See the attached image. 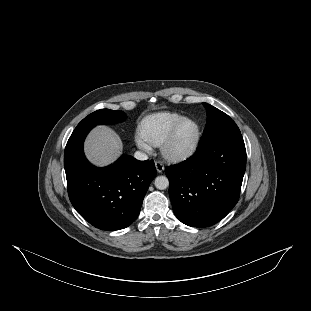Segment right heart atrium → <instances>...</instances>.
I'll use <instances>...</instances> for the list:
<instances>
[{"label": "right heart atrium", "instance_id": "d8ad5b80", "mask_svg": "<svg viewBox=\"0 0 311 311\" xmlns=\"http://www.w3.org/2000/svg\"><path fill=\"white\" fill-rule=\"evenodd\" d=\"M136 144L138 145V147L145 149V150H149L148 146L146 145L145 142H143L141 139H137L136 140Z\"/></svg>", "mask_w": 311, "mask_h": 311}]
</instances>
